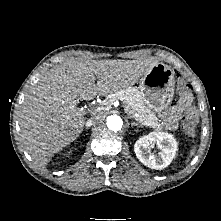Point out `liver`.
Masks as SVG:
<instances>
[{
    "label": "liver",
    "instance_id": "liver-1",
    "mask_svg": "<svg viewBox=\"0 0 221 221\" xmlns=\"http://www.w3.org/2000/svg\"><path fill=\"white\" fill-rule=\"evenodd\" d=\"M155 64L72 58L45 72L26 94L20 111L21 140L34 162L45 167L80 136L85 112L78 108L79 101L130 87Z\"/></svg>",
    "mask_w": 221,
    "mask_h": 221
}]
</instances>
